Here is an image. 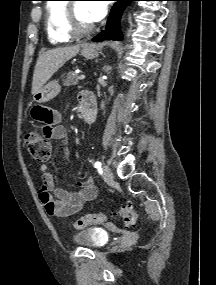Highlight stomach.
Returning a JSON list of instances; mask_svg holds the SVG:
<instances>
[{
    "mask_svg": "<svg viewBox=\"0 0 216 285\" xmlns=\"http://www.w3.org/2000/svg\"><path fill=\"white\" fill-rule=\"evenodd\" d=\"M100 46L96 44H86L83 46L81 55L86 59L98 57ZM61 86L57 81H50L34 94L33 99L37 103H46L54 99L60 92Z\"/></svg>",
    "mask_w": 216,
    "mask_h": 285,
    "instance_id": "obj_1",
    "label": "stomach"
}]
</instances>
